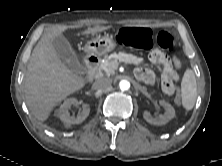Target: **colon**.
Segmentation results:
<instances>
[{
  "instance_id": "obj_1",
  "label": "colon",
  "mask_w": 222,
  "mask_h": 166,
  "mask_svg": "<svg viewBox=\"0 0 222 166\" xmlns=\"http://www.w3.org/2000/svg\"><path fill=\"white\" fill-rule=\"evenodd\" d=\"M115 40L122 45L139 49H150L155 40L160 48L168 51H172L176 43L174 35L167 30H161L154 36L150 29L143 27L123 28L117 32ZM163 85L165 87H173L175 90L173 80L170 77L164 78ZM175 102L177 105L181 104L179 93L175 95Z\"/></svg>"
}]
</instances>
